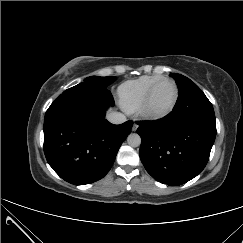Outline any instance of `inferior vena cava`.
<instances>
[{"instance_id":"obj_1","label":"inferior vena cava","mask_w":243,"mask_h":243,"mask_svg":"<svg viewBox=\"0 0 243 243\" xmlns=\"http://www.w3.org/2000/svg\"><path fill=\"white\" fill-rule=\"evenodd\" d=\"M107 120L113 124H121L126 121V116L120 112H111L107 115Z\"/></svg>"}]
</instances>
